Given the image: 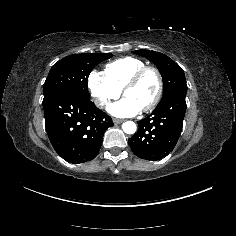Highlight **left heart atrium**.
I'll return each instance as SVG.
<instances>
[{"label":"left heart atrium","mask_w":236,"mask_h":236,"mask_svg":"<svg viewBox=\"0 0 236 236\" xmlns=\"http://www.w3.org/2000/svg\"><path fill=\"white\" fill-rule=\"evenodd\" d=\"M142 109L129 98H124L109 107V112L115 117L125 118L139 114Z\"/></svg>","instance_id":"1"}]
</instances>
